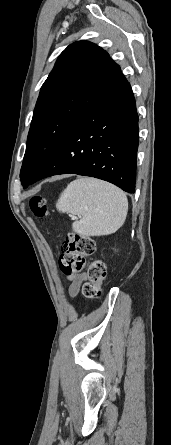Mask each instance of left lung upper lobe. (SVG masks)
Here are the masks:
<instances>
[{
	"mask_svg": "<svg viewBox=\"0 0 171 445\" xmlns=\"http://www.w3.org/2000/svg\"><path fill=\"white\" fill-rule=\"evenodd\" d=\"M126 81L120 67L94 43L69 45L41 87L20 171L21 183L36 174L93 105Z\"/></svg>",
	"mask_w": 171,
	"mask_h": 445,
	"instance_id": "1",
	"label": "left lung upper lobe"
}]
</instances>
